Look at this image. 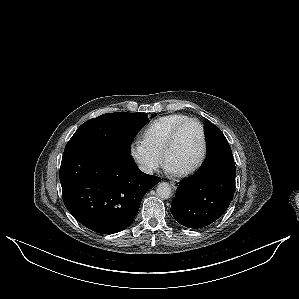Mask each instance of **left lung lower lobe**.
I'll list each match as a JSON object with an SVG mask.
<instances>
[{
    "label": "left lung lower lobe",
    "mask_w": 299,
    "mask_h": 299,
    "mask_svg": "<svg viewBox=\"0 0 299 299\" xmlns=\"http://www.w3.org/2000/svg\"><path fill=\"white\" fill-rule=\"evenodd\" d=\"M235 176L232 151L208 153L200 170L179 185L171 205L175 220L194 229L216 221L232 201Z\"/></svg>",
    "instance_id": "0a47b994"
}]
</instances>
